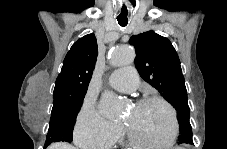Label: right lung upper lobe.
I'll return each instance as SVG.
<instances>
[{"mask_svg": "<svg viewBox=\"0 0 227 149\" xmlns=\"http://www.w3.org/2000/svg\"><path fill=\"white\" fill-rule=\"evenodd\" d=\"M98 55L93 33L80 38L67 53L54 88V99L84 97Z\"/></svg>", "mask_w": 227, "mask_h": 149, "instance_id": "obj_1", "label": "right lung upper lobe"}]
</instances>
